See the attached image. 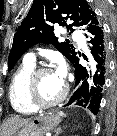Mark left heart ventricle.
Returning a JSON list of instances; mask_svg holds the SVG:
<instances>
[{"instance_id":"left-heart-ventricle-1","label":"left heart ventricle","mask_w":117,"mask_h":136,"mask_svg":"<svg viewBox=\"0 0 117 136\" xmlns=\"http://www.w3.org/2000/svg\"><path fill=\"white\" fill-rule=\"evenodd\" d=\"M38 97L42 102H50L60 96L64 81L55 72H45L38 79Z\"/></svg>"}]
</instances>
